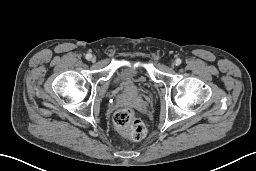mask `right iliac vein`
I'll return each instance as SVG.
<instances>
[{"instance_id": "1", "label": "right iliac vein", "mask_w": 256, "mask_h": 171, "mask_svg": "<svg viewBox=\"0 0 256 171\" xmlns=\"http://www.w3.org/2000/svg\"><path fill=\"white\" fill-rule=\"evenodd\" d=\"M91 62L92 63L96 62V58L95 57H91Z\"/></svg>"}]
</instances>
